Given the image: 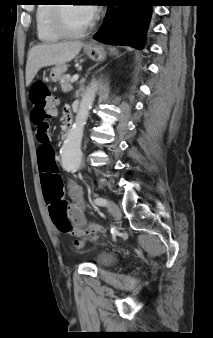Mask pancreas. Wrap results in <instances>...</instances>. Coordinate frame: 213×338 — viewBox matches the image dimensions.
<instances>
[{
  "label": "pancreas",
  "mask_w": 213,
  "mask_h": 338,
  "mask_svg": "<svg viewBox=\"0 0 213 338\" xmlns=\"http://www.w3.org/2000/svg\"><path fill=\"white\" fill-rule=\"evenodd\" d=\"M60 84L63 92H69L73 89L71 85V78L68 75L62 76Z\"/></svg>",
  "instance_id": "1"
}]
</instances>
